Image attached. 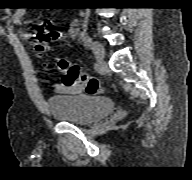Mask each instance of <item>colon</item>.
Segmentation results:
<instances>
[{
	"label": "colon",
	"instance_id": "colon-1",
	"mask_svg": "<svg viewBox=\"0 0 192 180\" xmlns=\"http://www.w3.org/2000/svg\"><path fill=\"white\" fill-rule=\"evenodd\" d=\"M60 38L56 30H42L33 36V49L38 56H43L48 44ZM58 68L63 74V83L66 85L79 86L88 95H97L104 91L102 82L88 73L79 65L65 59L58 60Z\"/></svg>",
	"mask_w": 192,
	"mask_h": 180
}]
</instances>
